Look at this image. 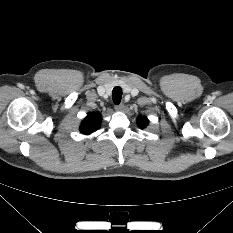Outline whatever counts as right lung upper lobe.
I'll use <instances>...</instances> for the list:
<instances>
[{
  "mask_svg": "<svg viewBox=\"0 0 233 233\" xmlns=\"http://www.w3.org/2000/svg\"><path fill=\"white\" fill-rule=\"evenodd\" d=\"M101 119L102 118L99 113H88L84 121L80 125V132L88 135L98 130L101 125Z\"/></svg>",
  "mask_w": 233,
  "mask_h": 233,
  "instance_id": "obj_1",
  "label": "right lung upper lobe"
}]
</instances>
